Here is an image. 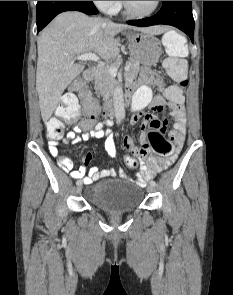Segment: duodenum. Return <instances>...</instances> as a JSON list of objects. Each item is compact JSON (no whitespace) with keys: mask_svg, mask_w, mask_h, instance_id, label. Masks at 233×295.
<instances>
[{"mask_svg":"<svg viewBox=\"0 0 233 295\" xmlns=\"http://www.w3.org/2000/svg\"><path fill=\"white\" fill-rule=\"evenodd\" d=\"M95 75H96V70L93 69V68H90V69L86 70L84 76L86 77L87 80H92V79H94ZM130 97H131V88H128L127 89V92L125 94V98H126V100H129ZM103 113H104L105 116H111V115H113V113H114V106H113L112 100L107 99L104 102V105H103Z\"/></svg>","mask_w":233,"mask_h":295,"instance_id":"obj_1","label":"duodenum"}]
</instances>
